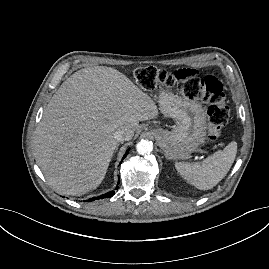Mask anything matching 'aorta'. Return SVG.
<instances>
[{"label": "aorta", "instance_id": "1", "mask_svg": "<svg viewBox=\"0 0 269 269\" xmlns=\"http://www.w3.org/2000/svg\"><path fill=\"white\" fill-rule=\"evenodd\" d=\"M136 150L140 155L149 154L153 150V143L149 140L142 139L137 143Z\"/></svg>", "mask_w": 269, "mask_h": 269}]
</instances>
